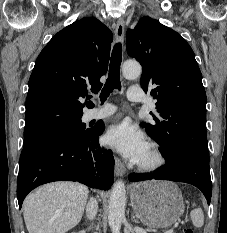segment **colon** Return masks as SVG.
<instances>
[{
	"label": "colon",
	"mask_w": 227,
	"mask_h": 233,
	"mask_svg": "<svg viewBox=\"0 0 227 233\" xmlns=\"http://www.w3.org/2000/svg\"><path fill=\"white\" fill-rule=\"evenodd\" d=\"M182 233H195V232L193 231V229L187 228V229H184Z\"/></svg>",
	"instance_id": "1"
}]
</instances>
